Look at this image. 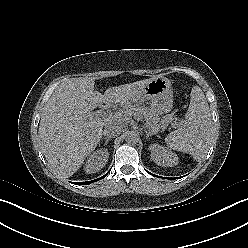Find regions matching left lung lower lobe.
I'll list each match as a JSON object with an SVG mask.
<instances>
[{"instance_id": "0a47b994", "label": "left lung lower lobe", "mask_w": 248, "mask_h": 248, "mask_svg": "<svg viewBox=\"0 0 248 248\" xmlns=\"http://www.w3.org/2000/svg\"><path fill=\"white\" fill-rule=\"evenodd\" d=\"M149 174H151L150 172H148ZM151 175H153V176H156V175H154V174H151ZM157 177V176H156ZM158 177H160V176H158Z\"/></svg>"}]
</instances>
